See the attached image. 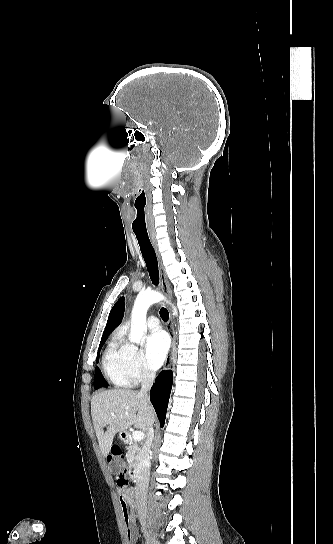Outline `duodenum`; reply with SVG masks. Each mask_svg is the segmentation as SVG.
I'll return each mask as SVG.
<instances>
[{
	"label": "duodenum",
	"mask_w": 333,
	"mask_h": 544,
	"mask_svg": "<svg viewBox=\"0 0 333 544\" xmlns=\"http://www.w3.org/2000/svg\"><path fill=\"white\" fill-rule=\"evenodd\" d=\"M121 439L125 444H128L130 442V436L128 433H122ZM129 477L134 482H139L142 480L144 476V469L141 468L139 465L133 464L129 467Z\"/></svg>",
	"instance_id": "410a0bca"
}]
</instances>
